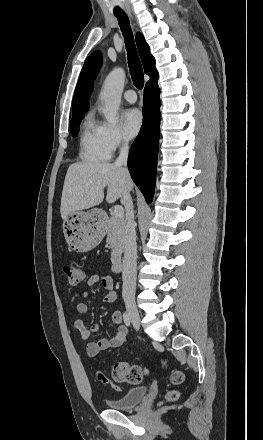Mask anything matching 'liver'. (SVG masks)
<instances>
[{
  "label": "liver",
  "mask_w": 263,
  "mask_h": 440,
  "mask_svg": "<svg viewBox=\"0 0 263 440\" xmlns=\"http://www.w3.org/2000/svg\"><path fill=\"white\" fill-rule=\"evenodd\" d=\"M105 187L106 201L114 203L123 197L126 190L132 189L133 182L111 163L83 161L71 164L65 176L61 197L62 219L72 212L99 205L104 199Z\"/></svg>",
  "instance_id": "obj_1"
}]
</instances>
